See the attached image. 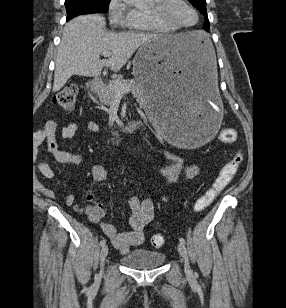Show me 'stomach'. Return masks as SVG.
Masks as SVG:
<instances>
[{
	"label": "stomach",
	"mask_w": 286,
	"mask_h": 308,
	"mask_svg": "<svg viewBox=\"0 0 286 308\" xmlns=\"http://www.w3.org/2000/svg\"><path fill=\"white\" fill-rule=\"evenodd\" d=\"M218 65L207 36H154L140 44L133 75L145 89L149 119L175 149L215 144L211 132L221 122Z\"/></svg>",
	"instance_id": "stomach-1"
}]
</instances>
